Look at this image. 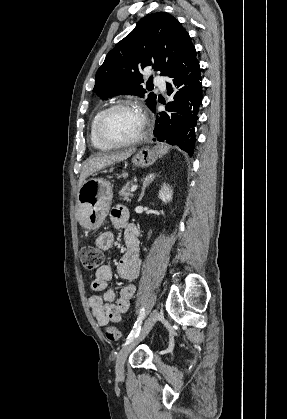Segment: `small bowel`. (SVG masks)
<instances>
[{"label":"small bowel","mask_w":287,"mask_h":419,"mask_svg":"<svg viewBox=\"0 0 287 419\" xmlns=\"http://www.w3.org/2000/svg\"><path fill=\"white\" fill-rule=\"evenodd\" d=\"M110 217L114 227L124 230L125 249L118 262L117 271L128 284L122 287L116 296L115 291L108 288V282L112 278L111 267L105 264L96 270L91 288L101 294L92 296L89 299V305L100 326L120 321L121 316L129 310L130 301L135 292L134 282L142 267L138 234L135 226L130 223L128 210L123 206H115ZM114 238L112 231H105L96 239V246L103 251H108L114 244Z\"/></svg>","instance_id":"obj_1"}]
</instances>
